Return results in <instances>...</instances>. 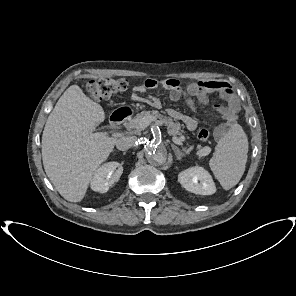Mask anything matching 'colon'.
Listing matches in <instances>:
<instances>
[{
  "label": "colon",
  "instance_id": "obj_1",
  "mask_svg": "<svg viewBox=\"0 0 296 296\" xmlns=\"http://www.w3.org/2000/svg\"><path fill=\"white\" fill-rule=\"evenodd\" d=\"M86 89L92 98L105 100L111 96L125 93L128 89V82L122 78H102L89 82ZM198 138L202 142H207L210 138V130L201 128L198 132Z\"/></svg>",
  "mask_w": 296,
  "mask_h": 296
}]
</instances>
